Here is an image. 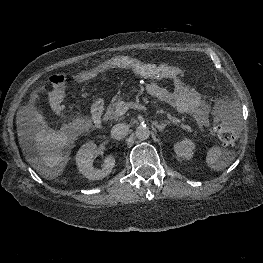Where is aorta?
<instances>
[{"label": "aorta", "instance_id": "aorta-1", "mask_svg": "<svg viewBox=\"0 0 263 263\" xmlns=\"http://www.w3.org/2000/svg\"><path fill=\"white\" fill-rule=\"evenodd\" d=\"M135 135L139 140H146L150 137V130L145 125H140L136 128Z\"/></svg>", "mask_w": 263, "mask_h": 263}]
</instances>
